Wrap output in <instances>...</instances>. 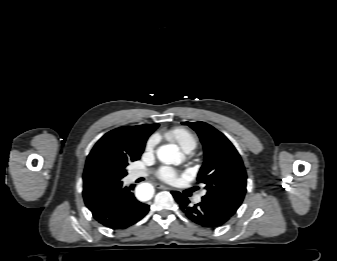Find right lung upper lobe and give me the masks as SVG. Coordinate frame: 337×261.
<instances>
[{
  "instance_id": "right-lung-upper-lobe-1",
  "label": "right lung upper lobe",
  "mask_w": 337,
  "mask_h": 261,
  "mask_svg": "<svg viewBox=\"0 0 337 261\" xmlns=\"http://www.w3.org/2000/svg\"><path fill=\"white\" fill-rule=\"evenodd\" d=\"M158 126L159 124H145L120 127L98 140L87 157L83 174V197L90 210L122 183H98L95 172L101 167L125 168L129 162L138 160L148 137Z\"/></svg>"
}]
</instances>
